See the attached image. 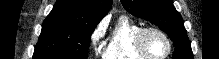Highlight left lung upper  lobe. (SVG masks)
Returning <instances> with one entry per match:
<instances>
[{
	"instance_id": "1",
	"label": "left lung upper lobe",
	"mask_w": 219,
	"mask_h": 59,
	"mask_svg": "<svg viewBox=\"0 0 219 59\" xmlns=\"http://www.w3.org/2000/svg\"><path fill=\"white\" fill-rule=\"evenodd\" d=\"M131 14L148 20L163 30L174 42L173 59H193L191 44L180 14L172 0H121Z\"/></svg>"
}]
</instances>
